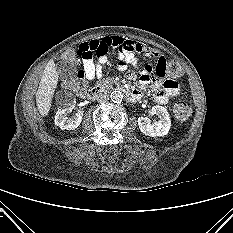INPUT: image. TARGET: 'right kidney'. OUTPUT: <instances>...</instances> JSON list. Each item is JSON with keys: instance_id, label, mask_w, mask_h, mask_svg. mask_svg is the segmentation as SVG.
I'll list each match as a JSON object with an SVG mask.
<instances>
[{"instance_id": "right-kidney-1", "label": "right kidney", "mask_w": 233, "mask_h": 233, "mask_svg": "<svg viewBox=\"0 0 233 233\" xmlns=\"http://www.w3.org/2000/svg\"><path fill=\"white\" fill-rule=\"evenodd\" d=\"M74 105L75 100H72L68 107L59 109L55 115V124L63 130H74L82 121L83 111H78L74 116H72V118L67 117Z\"/></svg>"}]
</instances>
